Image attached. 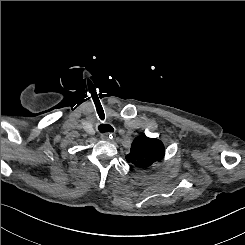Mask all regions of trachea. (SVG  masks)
Wrapping results in <instances>:
<instances>
[{
  "label": "trachea",
  "instance_id": "trachea-1",
  "mask_svg": "<svg viewBox=\"0 0 245 245\" xmlns=\"http://www.w3.org/2000/svg\"><path fill=\"white\" fill-rule=\"evenodd\" d=\"M99 117H100L101 120H104L103 116L100 113H99ZM98 130L101 133H108V132H113L114 131V128L110 124L101 123L98 126Z\"/></svg>",
  "mask_w": 245,
  "mask_h": 245
}]
</instances>
